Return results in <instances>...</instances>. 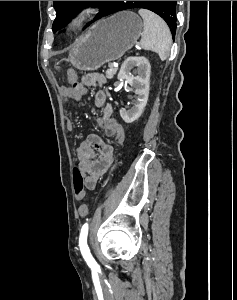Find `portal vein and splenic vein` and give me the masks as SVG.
<instances>
[{"mask_svg": "<svg viewBox=\"0 0 237 300\" xmlns=\"http://www.w3.org/2000/svg\"><path fill=\"white\" fill-rule=\"evenodd\" d=\"M110 65L108 66L110 69H112L114 66L112 65V62L109 63Z\"/></svg>", "mask_w": 237, "mask_h": 300, "instance_id": "portal-vein-and-splenic-vein-1", "label": "portal vein and splenic vein"}]
</instances>
